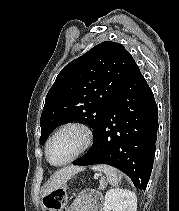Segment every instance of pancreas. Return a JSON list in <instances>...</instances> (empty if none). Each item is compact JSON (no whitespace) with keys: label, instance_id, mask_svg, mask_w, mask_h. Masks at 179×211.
Here are the masks:
<instances>
[{"label":"pancreas","instance_id":"1","mask_svg":"<svg viewBox=\"0 0 179 211\" xmlns=\"http://www.w3.org/2000/svg\"><path fill=\"white\" fill-rule=\"evenodd\" d=\"M104 185H105L104 183H101L99 189H100V190L104 189Z\"/></svg>","mask_w":179,"mask_h":211}]
</instances>
